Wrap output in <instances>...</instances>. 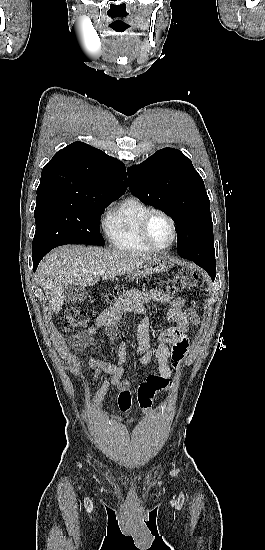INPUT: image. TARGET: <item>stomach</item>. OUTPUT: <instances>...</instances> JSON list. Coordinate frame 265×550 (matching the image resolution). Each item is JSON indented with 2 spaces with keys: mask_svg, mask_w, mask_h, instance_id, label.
<instances>
[{
  "mask_svg": "<svg viewBox=\"0 0 265 550\" xmlns=\"http://www.w3.org/2000/svg\"><path fill=\"white\" fill-rule=\"evenodd\" d=\"M169 262L161 255L150 256L132 274L134 276L147 277L149 275L166 272L169 269Z\"/></svg>",
  "mask_w": 265,
  "mask_h": 550,
  "instance_id": "obj_1",
  "label": "stomach"
}]
</instances>
